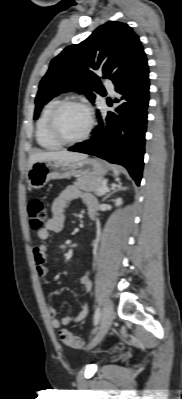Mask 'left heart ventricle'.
<instances>
[{"mask_svg": "<svg viewBox=\"0 0 182 399\" xmlns=\"http://www.w3.org/2000/svg\"><path fill=\"white\" fill-rule=\"evenodd\" d=\"M60 133L67 139L81 136L88 126V117L85 110L79 106L64 107L57 117Z\"/></svg>", "mask_w": 182, "mask_h": 399, "instance_id": "obj_1", "label": "left heart ventricle"}]
</instances>
